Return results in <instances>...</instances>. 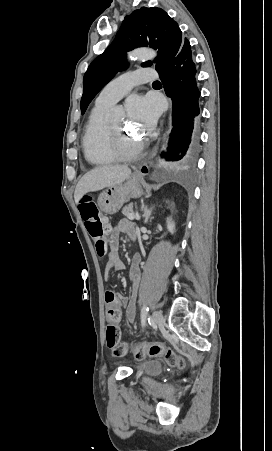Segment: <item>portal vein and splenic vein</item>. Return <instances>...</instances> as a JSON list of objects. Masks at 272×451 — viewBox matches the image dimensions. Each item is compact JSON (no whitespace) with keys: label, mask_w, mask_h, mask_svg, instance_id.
<instances>
[{"label":"portal vein and splenic vein","mask_w":272,"mask_h":451,"mask_svg":"<svg viewBox=\"0 0 272 451\" xmlns=\"http://www.w3.org/2000/svg\"><path fill=\"white\" fill-rule=\"evenodd\" d=\"M128 220H134L135 216L134 214H129V216H127Z\"/></svg>","instance_id":"obj_1"}]
</instances>
